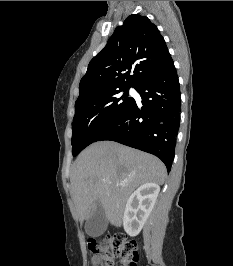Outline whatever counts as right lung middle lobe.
I'll return each instance as SVG.
<instances>
[{"label":"right lung middle lobe","instance_id":"obj_1","mask_svg":"<svg viewBox=\"0 0 233 266\" xmlns=\"http://www.w3.org/2000/svg\"><path fill=\"white\" fill-rule=\"evenodd\" d=\"M129 88L93 94L75 103L72 123V153L78 155L110 127L134 102Z\"/></svg>","mask_w":233,"mask_h":266}]
</instances>
